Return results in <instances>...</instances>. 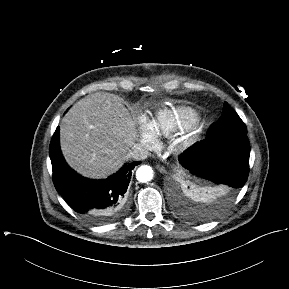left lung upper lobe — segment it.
<instances>
[{"label": "left lung upper lobe", "mask_w": 289, "mask_h": 289, "mask_svg": "<svg viewBox=\"0 0 289 289\" xmlns=\"http://www.w3.org/2000/svg\"><path fill=\"white\" fill-rule=\"evenodd\" d=\"M225 133H247L245 124L227 102L224 103L221 117L211 125L207 136H217ZM202 215L203 214H200V216ZM200 216L198 214V217L203 219V217Z\"/></svg>", "instance_id": "5c2ea615"}]
</instances>
